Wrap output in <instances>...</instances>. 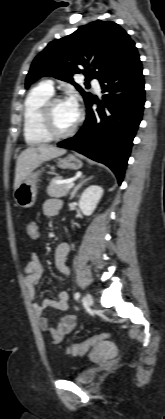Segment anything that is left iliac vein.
Segmentation results:
<instances>
[{"instance_id":"obj_1","label":"left iliac vein","mask_w":165,"mask_h":419,"mask_svg":"<svg viewBox=\"0 0 165 419\" xmlns=\"http://www.w3.org/2000/svg\"><path fill=\"white\" fill-rule=\"evenodd\" d=\"M85 306L87 309H90L93 305V297L90 294H86L84 298Z\"/></svg>"}]
</instances>
